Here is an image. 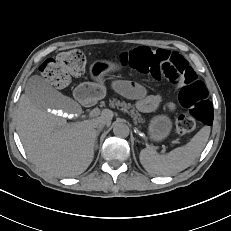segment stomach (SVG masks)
<instances>
[{"label":"stomach","mask_w":231,"mask_h":231,"mask_svg":"<svg viewBox=\"0 0 231 231\" xmlns=\"http://www.w3.org/2000/svg\"><path fill=\"white\" fill-rule=\"evenodd\" d=\"M105 72V65L102 63H95L90 68V73L94 78H99ZM101 78V77H100ZM106 95V88L102 80L99 82H85L80 84L75 90L76 98L82 102L87 103L104 98ZM172 130V123L166 115H158L150 120L148 126V134L153 141H162L168 137Z\"/></svg>","instance_id":"0dacf381"}]
</instances>
